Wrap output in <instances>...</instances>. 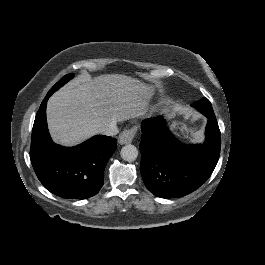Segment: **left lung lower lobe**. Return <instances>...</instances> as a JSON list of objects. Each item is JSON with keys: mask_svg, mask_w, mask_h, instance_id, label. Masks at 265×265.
<instances>
[{"mask_svg": "<svg viewBox=\"0 0 265 265\" xmlns=\"http://www.w3.org/2000/svg\"><path fill=\"white\" fill-rule=\"evenodd\" d=\"M208 118L206 141L187 146L170 133L164 120L142 122L140 171L145 186L155 196L174 198L198 189L212 174L220 154V130L210 101L192 104Z\"/></svg>", "mask_w": 265, "mask_h": 265, "instance_id": "left-lung-lower-lobe-1", "label": "left lung lower lobe"}]
</instances>
